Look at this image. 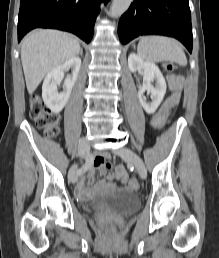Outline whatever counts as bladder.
<instances>
[{"label":"bladder","mask_w":219,"mask_h":258,"mask_svg":"<svg viewBox=\"0 0 219 258\" xmlns=\"http://www.w3.org/2000/svg\"><path fill=\"white\" fill-rule=\"evenodd\" d=\"M140 204V198L131 191L117 188L94 197L85 207L89 212L111 210L121 215H128L138 210Z\"/></svg>","instance_id":"bladder-1"}]
</instances>
